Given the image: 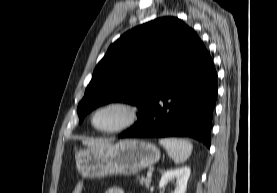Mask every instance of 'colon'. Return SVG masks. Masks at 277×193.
<instances>
[{
    "label": "colon",
    "mask_w": 277,
    "mask_h": 193,
    "mask_svg": "<svg viewBox=\"0 0 277 193\" xmlns=\"http://www.w3.org/2000/svg\"><path fill=\"white\" fill-rule=\"evenodd\" d=\"M72 193H83V183L78 182L75 188L73 189Z\"/></svg>",
    "instance_id": "1"
}]
</instances>
